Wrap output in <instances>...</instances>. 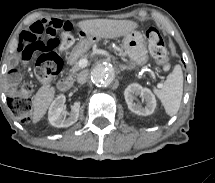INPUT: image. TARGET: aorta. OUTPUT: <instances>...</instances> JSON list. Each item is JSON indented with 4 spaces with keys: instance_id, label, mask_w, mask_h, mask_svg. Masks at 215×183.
Returning a JSON list of instances; mask_svg holds the SVG:
<instances>
[{
    "instance_id": "aorta-1",
    "label": "aorta",
    "mask_w": 215,
    "mask_h": 183,
    "mask_svg": "<svg viewBox=\"0 0 215 183\" xmlns=\"http://www.w3.org/2000/svg\"><path fill=\"white\" fill-rule=\"evenodd\" d=\"M115 78L114 69L104 63L96 65L91 71V80L92 82L99 87L109 86Z\"/></svg>"
}]
</instances>
